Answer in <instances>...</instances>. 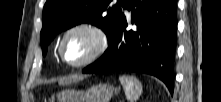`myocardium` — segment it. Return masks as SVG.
<instances>
[{
    "instance_id": "obj_1",
    "label": "myocardium",
    "mask_w": 221,
    "mask_h": 102,
    "mask_svg": "<svg viewBox=\"0 0 221 102\" xmlns=\"http://www.w3.org/2000/svg\"><path fill=\"white\" fill-rule=\"evenodd\" d=\"M83 32L88 34L93 41V46L88 55L79 62H69L67 61L64 54V46L68 37L74 33ZM110 44V39L106 30L100 25L91 22H79L70 26L63 34L61 41L59 43L58 52L61 61L69 67L72 68H82L85 67L98 58H100L108 49Z\"/></svg>"
}]
</instances>
